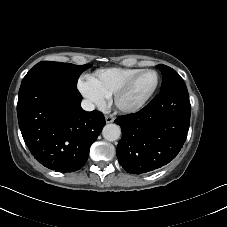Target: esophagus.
<instances>
[{"label":"esophagus","mask_w":227,"mask_h":227,"mask_svg":"<svg viewBox=\"0 0 227 227\" xmlns=\"http://www.w3.org/2000/svg\"><path fill=\"white\" fill-rule=\"evenodd\" d=\"M105 121H106V123H112V122H114V117H112V116H105Z\"/></svg>","instance_id":"1"}]
</instances>
